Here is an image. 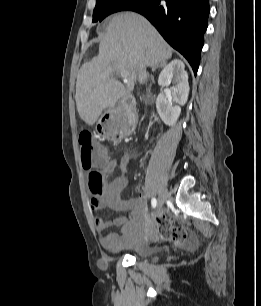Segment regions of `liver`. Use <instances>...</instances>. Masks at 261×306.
I'll use <instances>...</instances> for the list:
<instances>
[{
    "label": "liver",
    "mask_w": 261,
    "mask_h": 306,
    "mask_svg": "<svg viewBox=\"0 0 261 306\" xmlns=\"http://www.w3.org/2000/svg\"><path fill=\"white\" fill-rule=\"evenodd\" d=\"M172 48L143 16L122 12L112 16L99 54L84 64L77 75L76 105L88 125H93L102 111L113 108L130 93L136 81H147L146 67L164 66L172 57ZM129 73L126 85L114 74Z\"/></svg>",
    "instance_id": "6515ba94"
}]
</instances>
